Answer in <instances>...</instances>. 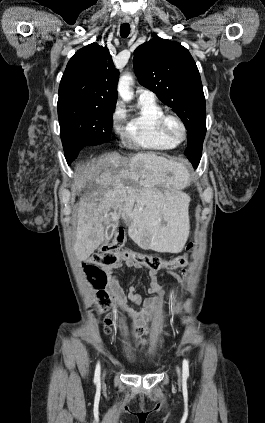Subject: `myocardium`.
I'll use <instances>...</instances> for the list:
<instances>
[{
  "label": "myocardium",
  "mask_w": 265,
  "mask_h": 423,
  "mask_svg": "<svg viewBox=\"0 0 265 423\" xmlns=\"http://www.w3.org/2000/svg\"><path fill=\"white\" fill-rule=\"evenodd\" d=\"M171 121L177 122L181 127V134L175 136L169 127ZM159 128L163 135L168 139L172 140L175 143H181L187 138L188 128L184 120L176 114L173 113H164L159 119Z\"/></svg>",
  "instance_id": "myocardium-1"
}]
</instances>
